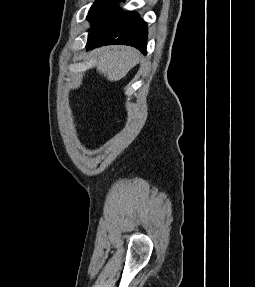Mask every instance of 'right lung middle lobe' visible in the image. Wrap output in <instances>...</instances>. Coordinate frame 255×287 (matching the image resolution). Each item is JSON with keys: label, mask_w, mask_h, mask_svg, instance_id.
Wrapping results in <instances>:
<instances>
[{"label": "right lung middle lobe", "mask_w": 255, "mask_h": 287, "mask_svg": "<svg viewBox=\"0 0 255 287\" xmlns=\"http://www.w3.org/2000/svg\"><path fill=\"white\" fill-rule=\"evenodd\" d=\"M124 0H97L90 8L87 20L91 23V27L107 20L121 11L117 2Z\"/></svg>", "instance_id": "1"}]
</instances>
